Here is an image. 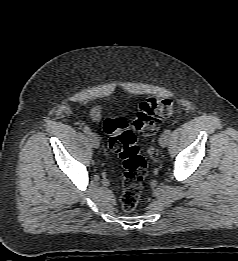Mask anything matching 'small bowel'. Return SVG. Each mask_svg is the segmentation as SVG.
Listing matches in <instances>:
<instances>
[{
	"label": "small bowel",
	"mask_w": 238,
	"mask_h": 261,
	"mask_svg": "<svg viewBox=\"0 0 238 261\" xmlns=\"http://www.w3.org/2000/svg\"><path fill=\"white\" fill-rule=\"evenodd\" d=\"M92 119L98 121L100 118V110L98 107H94L91 111Z\"/></svg>",
	"instance_id": "1"
}]
</instances>
